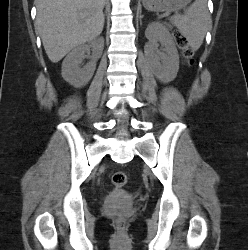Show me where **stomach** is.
<instances>
[{"mask_svg":"<svg viewBox=\"0 0 248 250\" xmlns=\"http://www.w3.org/2000/svg\"><path fill=\"white\" fill-rule=\"evenodd\" d=\"M146 9L156 12H171L184 9L191 0H142Z\"/></svg>","mask_w":248,"mask_h":250,"instance_id":"0dacf381","label":"stomach"}]
</instances>
